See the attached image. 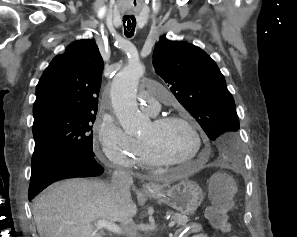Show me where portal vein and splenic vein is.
Segmentation results:
<instances>
[{"instance_id": "obj_1", "label": "portal vein and splenic vein", "mask_w": 297, "mask_h": 237, "mask_svg": "<svg viewBox=\"0 0 297 237\" xmlns=\"http://www.w3.org/2000/svg\"><path fill=\"white\" fill-rule=\"evenodd\" d=\"M176 224L175 221H171L169 223V228L173 227L174 225ZM96 227L98 229H101V228H104L112 233H115V234H122V230L121 228L116 225L115 223H112V222H108V221H105V220H98L96 223H95Z\"/></svg>"}]
</instances>
